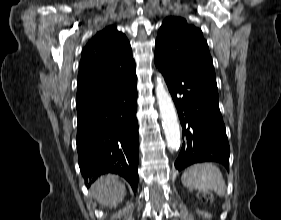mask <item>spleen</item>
<instances>
[{
  "instance_id": "obj_1",
  "label": "spleen",
  "mask_w": 281,
  "mask_h": 220,
  "mask_svg": "<svg viewBox=\"0 0 281 220\" xmlns=\"http://www.w3.org/2000/svg\"><path fill=\"white\" fill-rule=\"evenodd\" d=\"M181 182L187 188L213 190L219 196L226 193L222 172L212 163H199L188 167L181 176Z\"/></svg>"
}]
</instances>
